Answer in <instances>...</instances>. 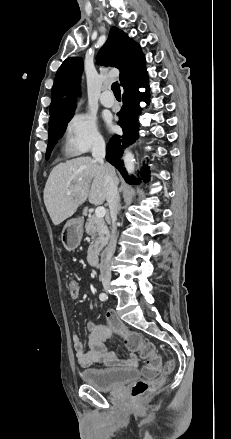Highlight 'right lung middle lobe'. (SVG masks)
<instances>
[{
	"label": "right lung middle lobe",
	"mask_w": 231,
	"mask_h": 439,
	"mask_svg": "<svg viewBox=\"0 0 231 439\" xmlns=\"http://www.w3.org/2000/svg\"><path fill=\"white\" fill-rule=\"evenodd\" d=\"M71 118H68L64 121H62L61 123L50 127L48 130V145H47V150H46V159L49 158L50 153L54 147V145L56 144L57 140L59 138L62 137V135L64 134V131L67 127V123L70 121Z\"/></svg>",
	"instance_id": "1"
}]
</instances>
